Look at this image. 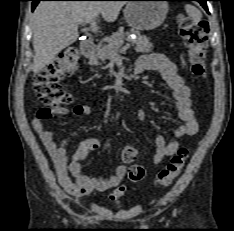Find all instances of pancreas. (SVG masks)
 <instances>
[{
  "label": "pancreas",
  "mask_w": 234,
  "mask_h": 231,
  "mask_svg": "<svg viewBox=\"0 0 234 231\" xmlns=\"http://www.w3.org/2000/svg\"><path fill=\"white\" fill-rule=\"evenodd\" d=\"M133 33L136 35V38H128L127 40L135 45V51L141 53L150 52L153 45L149 42V39L146 36L141 35L139 32ZM125 35H129V33L125 34L123 31L120 30L109 37L107 39V45L98 47L97 53L91 60V64L98 65L100 64L99 60L101 61V63H105L106 60H111L122 47L125 40Z\"/></svg>",
  "instance_id": "pancreas-1"
}]
</instances>
